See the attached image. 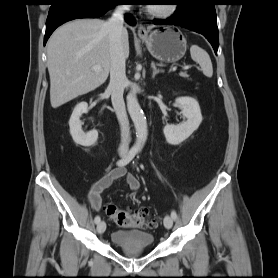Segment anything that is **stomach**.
<instances>
[{
    "label": "stomach",
    "instance_id": "0dacf381",
    "mask_svg": "<svg viewBox=\"0 0 278 278\" xmlns=\"http://www.w3.org/2000/svg\"><path fill=\"white\" fill-rule=\"evenodd\" d=\"M140 39L154 58L167 63L179 61L187 49L184 35L172 27L155 30L147 36H140Z\"/></svg>",
    "mask_w": 278,
    "mask_h": 278
}]
</instances>
